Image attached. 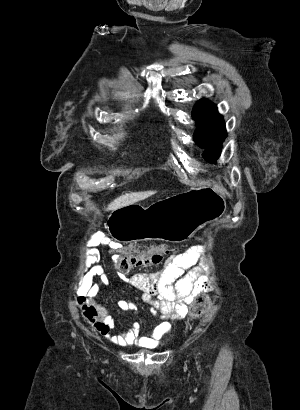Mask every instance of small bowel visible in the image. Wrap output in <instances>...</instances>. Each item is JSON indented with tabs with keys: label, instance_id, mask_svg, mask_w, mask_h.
<instances>
[{
	"label": "small bowel",
	"instance_id": "1",
	"mask_svg": "<svg viewBox=\"0 0 300 410\" xmlns=\"http://www.w3.org/2000/svg\"><path fill=\"white\" fill-rule=\"evenodd\" d=\"M103 242V236L96 235L88 241V246L94 248ZM203 252V246L194 245L184 253L170 255L162 271L131 276L118 273V279L143 293L144 302L151 306V312L159 322L146 334H142L140 324L134 322L114 336H110V331L116 329L119 322L96 300L101 287L109 284L110 276L103 266L93 265V260L88 259V274L82 280L77 298L83 320L115 345L155 348L171 330L169 320L184 317L194 297L210 288L211 281L204 275L209 263L202 257ZM94 277L99 278L98 283L93 282ZM117 307L123 312L138 310L137 303L125 298L117 302Z\"/></svg>",
	"mask_w": 300,
	"mask_h": 410
}]
</instances>
